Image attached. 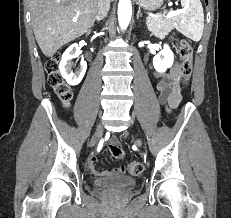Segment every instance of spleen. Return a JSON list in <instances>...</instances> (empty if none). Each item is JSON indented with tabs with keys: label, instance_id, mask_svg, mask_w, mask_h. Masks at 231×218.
Wrapping results in <instances>:
<instances>
[{
	"label": "spleen",
	"instance_id": "spleen-1",
	"mask_svg": "<svg viewBox=\"0 0 231 218\" xmlns=\"http://www.w3.org/2000/svg\"><path fill=\"white\" fill-rule=\"evenodd\" d=\"M182 12L175 18L176 29L193 41H199L204 29V13L200 0H181Z\"/></svg>",
	"mask_w": 231,
	"mask_h": 218
}]
</instances>
